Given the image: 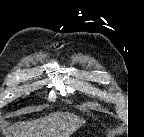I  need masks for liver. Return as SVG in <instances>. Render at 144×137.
<instances>
[{"mask_svg":"<svg viewBox=\"0 0 144 137\" xmlns=\"http://www.w3.org/2000/svg\"><path fill=\"white\" fill-rule=\"evenodd\" d=\"M85 120L69 112H53L39 119L18 122L13 137H70Z\"/></svg>","mask_w":144,"mask_h":137,"instance_id":"obj_1","label":"liver"}]
</instances>
